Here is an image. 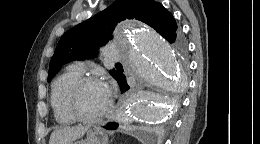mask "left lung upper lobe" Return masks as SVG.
<instances>
[{"label": "left lung upper lobe", "mask_w": 260, "mask_h": 144, "mask_svg": "<svg viewBox=\"0 0 260 144\" xmlns=\"http://www.w3.org/2000/svg\"><path fill=\"white\" fill-rule=\"evenodd\" d=\"M125 19H137L146 23L168 42L175 43L180 51H185L184 43L173 41L177 34V24L173 15L161 3L154 0H116L105 10L62 35L50 61L48 81L62 65L96 57L98 48L113 38L115 25ZM109 72L115 79L120 74L115 69Z\"/></svg>", "instance_id": "left-lung-upper-lobe-1"}]
</instances>
